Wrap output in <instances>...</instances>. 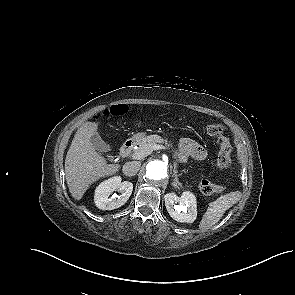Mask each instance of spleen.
I'll return each mask as SVG.
<instances>
[{
    "label": "spleen",
    "instance_id": "1",
    "mask_svg": "<svg viewBox=\"0 0 295 295\" xmlns=\"http://www.w3.org/2000/svg\"><path fill=\"white\" fill-rule=\"evenodd\" d=\"M241 198V192H231L226 195H222L210 204L204 213L200 222L199 228L201 230H207L214 226L223 216L225 211L231 208Z\"/></svg>",
    "mask_w": 295,
    "mask_h": 295
}]
</instances>
